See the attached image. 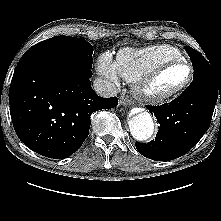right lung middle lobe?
<instances>
[{"label":"right lung middle lobe","instance_id":"obj_1","mask_svg":"<svg viewBox=\"0 0 221 221\" xmlns=\"http://www.w3.org/2000/svg\"><path fill=\"white\" fill-rule=\"evenodd\" d=\"M32 48L44 50L81 67L92 68L93 46L84 39L55 36L37 43Z\"/></svg>","mask_w":221,"mask_h":221}]
</instances>
